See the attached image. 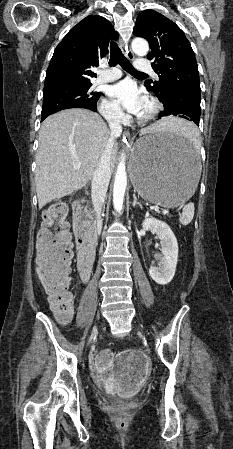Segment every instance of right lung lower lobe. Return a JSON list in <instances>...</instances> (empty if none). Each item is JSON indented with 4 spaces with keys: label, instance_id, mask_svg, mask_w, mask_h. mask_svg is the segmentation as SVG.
<instances>
[{
    "label": "right lung lower lobe",
    "instance_id": "1",
    "mask_svg": "<svg viewBox=\"0 0 233 449\" xmlns=\"http://www.w3.org/2000/svg\"><path fill=\"white\" fill-rule=\"evenodd\" d=\"M97 109H95V110H93V111H96ZM46 117H41V121H43L44 119H45Z\"/></svg>",
    "mask_w": 233,
    "mask_h": 449
}]
</instances>
